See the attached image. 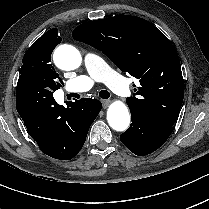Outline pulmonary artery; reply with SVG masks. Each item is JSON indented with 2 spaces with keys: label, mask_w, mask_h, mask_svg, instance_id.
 Here are the masks:
<instances>
[{
  "label": "pulmonary artery",
  "mask_w": 209,
  "mask_h": 209,
  "mask_svg": "<svg viewBox=\"0 0 209 209\" xmlns=\"http://www.w3.org/2000/svg\"><path fill=\"white\" fill-rule=\"evenodd\" d=\"M84 63L86 72L68 82L69 91L82 93L90 90L95 82H105L117 95H129V87L99 54L91 51L86 52L84 54Z\"/></svg>",
  "instance_id": "pulmonary-artery-1"
}]
</instances>
